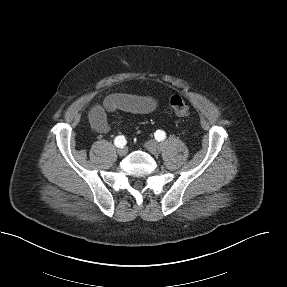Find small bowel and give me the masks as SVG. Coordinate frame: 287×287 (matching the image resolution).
Listing matches in <instances>:
<instances>
[{
    "instance_id": "c3829d8e",
    "label": "small bowel",
    "mask_w": 287,
    "mask_h": 287,
    "mask_svg": "<svg viewBox=\"0 0 287 287\" xmlns=\"http://www.w3.org/2000/svg\"><path fill=\"white\" fill-rule=\"evenodd\" d=\"M158 102L151 96L115 93L109 95L102 104L94 105L89 112V121L92 128L100 134L110 130L107 115L116 111L132 114H148L153 112Z\"/></svg>"
}]
</instances>
